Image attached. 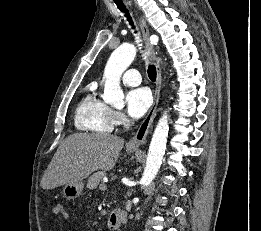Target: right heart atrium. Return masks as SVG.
Wrapping results in <instances>:
<instances>
[{
  "instance_id": "obj_1",
  "label": "right heart atrium",
  "mask_w": 261,
  "mask_h": 231,
  "mask_svg": "<svg viewBox=\"0 0 261 231\" xmlns=\"http://www.w3.org/2000/svg\"><path fill=\"white\" fill-rule=\"evenodd\" d=\"M113 122L117 126L122 125L125 122L124 115L119 111H113Z\"/></svg>"
}]
</instances>
